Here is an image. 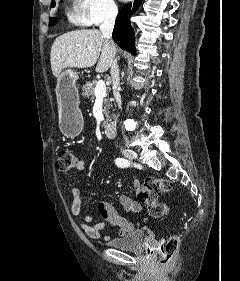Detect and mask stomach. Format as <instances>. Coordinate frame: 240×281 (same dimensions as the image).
I'll return each instance as SVG.
<instances>
[{
  "label": "stomach",
  "instance_id": "stomach-1",
  "mask_svg": "<svg viewBox=\"0 0 240 281\" xmlns=\"http://www.w3.org/2000/svg\"><path fill=\"white\" fill-rule=\"evenodd\" d=\"M77 79V72L70 69L63 71L57 79L59 125L62 133L67 137L79 135L84 125L82 112L79 108Z\"/></svg>",
  "mask_w": 240,
  "mask_h": 281
}]
</instances>
